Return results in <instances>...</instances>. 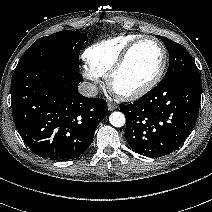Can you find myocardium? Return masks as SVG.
Returning <instances> with one entry per match:
<instances>
[{"label":"myocardium","instance_id":"myocardium-1","mask_svg":"<svg viewBox=\"0 0 212 212\" xmlns=\"http://www.w3.org/2000/svg\"><path fill=\"white\" fill-rule=\"evenodd\" d=\"M144 42H153L161 48L162 62L159 67V70L157 71V73L154 75V77L151 80H149L147 83H145L141 87H139L133 91H130V92L118 91L114 85L115 77L123 69V67L125 66V64L127 63L128 59H129L130 55L132 54L133 50L139 44L144 43ZM167 63H168V51H167L166 46L159 39L154 38V37H139V38L135 39L134 41H132L124 49V51L121 53V55L119 56L117 61L114 63V65L111 67V69L107 73L108 87L110 88V90L113 93H115L117 96H119L122 99H126V100L138 99V98L144 96L145 94H147L149 91H151L155 86H157V84L161 81V79L165 73Z\"/></svg>","mask_w":212,"mask_h":212}]
</instances>
